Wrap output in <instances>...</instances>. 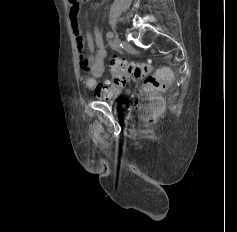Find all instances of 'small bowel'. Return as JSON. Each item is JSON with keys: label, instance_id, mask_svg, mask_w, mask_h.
<instances>
[{"label": "small bowel", "instance_id": "obj_1", "mask_svg": "<svg viewBox=\"0 0 237 232\" xmlns=\"http://www.w3.org/2000/svg\"><path fill=\"white\" fill-rule=\"evenodd\" d=\"M70 2V22L75 37V43L78 53L79 67L81 70L89 73L91 78L86 83L90 89H93L96 95L100 98H112L119 90L107 88L103 84H98L96 78L102 76L105 70V58L107 52L104 46V40L99 28H96L93 35H83L79 23L80 1L68 0ZM85 45L90 52L96 48V52L91 55H86Z\"/></svg>", "mask_w": 237, "mask_h": 232}]
</instances>
